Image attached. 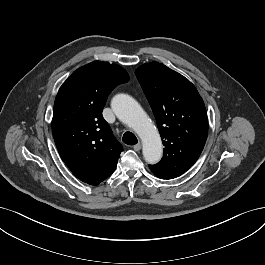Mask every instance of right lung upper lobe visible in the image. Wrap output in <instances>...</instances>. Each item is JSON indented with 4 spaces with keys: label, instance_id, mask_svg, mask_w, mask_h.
Instances as JSON below:
<instances>
[{
    "label": "right lung upper lobe",
    "instance_id": "obj_1",
    "mask_svg": "<svg viewBox=\"0 0 265 265\" xmlns=\"http://www.w3.org/2000/svg\"><path fill=\"white\" fill-rule=\"evenodd\" d=\"M128 81L119 65L94 61L75 70L59 89L53 137L62 160L80 180L102 176L123 151L102 111L110 92Z\"/></svg>",
    "mask_w": 265,
    "mask_h": 265
}]
</instances>
